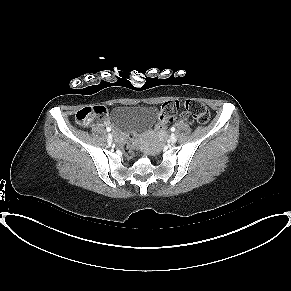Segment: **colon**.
Listing matches in <instances>:
<instances>
[{
    "instance_id": "colon-1",
    "label": "colon",
    "mask_w": 291,
    "mask_h": 291,
    "mask_svg": "<svg viewBox=\"0 0 291 291\" xmlns=\"http://www.w3.org/2000/svg\"><path fill=\"white\" fill-rule=\"evenodd\" d=\"M180 110L188 112L197 122L207 123L210 118L208 108L204 103L198 100L177 101L171 100L163 104L161 115L156 124L158 131H164L169 121L174 119ZM76 121L80 125H90L92 123H105L108 118L107 109L104 106H89L80 109L76 113ZM133 137L129 138L123 146L125 155L131 156V142Z\"/></svg>"
}]
</instances>
